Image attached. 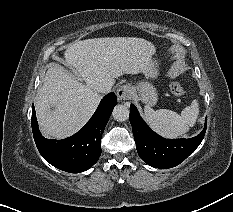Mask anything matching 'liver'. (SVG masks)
<instances>
[{"instance_id":"liver-1","label":"liver","mask_w":233,"mask_h":212,"mask_svg":"<svg viewBox=\"0 0 233 212\" xmlns=\"http://www.w3.org/2000/svg\"><path fill=\"white\" fill-rule=\"evenodd\" d=\"M154 53L151 42L136 37L94 38L72 43L64 57L81 79L63 66L51 64L35 103L42 134L62 139L76 133L99 104L97 87L103 84L112 87L115 79L124 74L144 73Z\"/></svg>"}]
</instances>
